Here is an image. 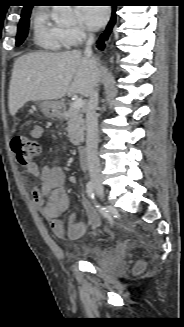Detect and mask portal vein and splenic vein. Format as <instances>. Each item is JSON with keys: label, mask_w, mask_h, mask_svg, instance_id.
<instances>
[{"label": "portal vein and splenic vein", "mask_w": 184, "mask_h": 327, "mask_svg": "<svg viewBox=\"0 0 184 327\" xmlns=\"http://www.w3.org/2000/svg\"><path fill=\"white\" fill-rule=\"evenodd\" d=\"M83 105H84L83 99L78 98L72 103L71 107L79 110L80 108L83 107Z\"/></svg>", "instance_id": "1"}]
</instances>
